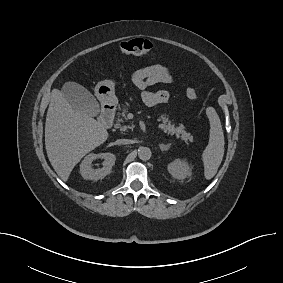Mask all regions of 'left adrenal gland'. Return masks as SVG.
<instances>
[{
	"label": "left adrenal gland",
	"mask_w": 283,
	"mask_h": 283,
	"mask_svg": "<svg viewBox=\"0 0 283 283\" xmlns=\"http://www.w3.org/2000/svg\"><path fill=\"white\" fill-rule=\"evenodd\" d=\"M170 146H171V144H167V145H165V144H159V147H160V150L161 151H167V150H169V148H170Z\"/></svg>",
	"instance_id": "a2214340"
}]
</instances>
